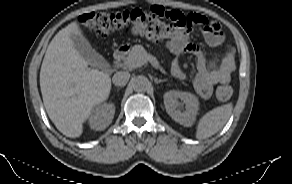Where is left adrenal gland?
Here are the masks:
<instances>
[{
	"label": "left adrenal gland",
	"instance_id": "1",
	"mask_svg": "<svg viewBox=\"0 0 292 184\" xmlns=\"http://www.w3.org/2000/svg\"><path fill=\"white\" fill-rule=\"evenodd\" d=\"M154 81H155L156 84H159L161 82H166L167 79H157V78H155Z\"/></svg>",
	"mask_w": 292,
	"mask_h": 184
}]
</instances>
